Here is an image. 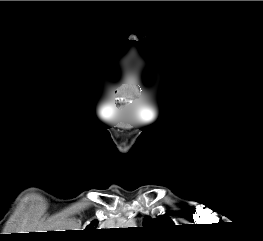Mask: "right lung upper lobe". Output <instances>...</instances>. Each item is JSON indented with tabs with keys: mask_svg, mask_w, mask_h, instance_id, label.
<instances>
[{
	"mask_svg": "<svg viewBox=\"0 0 263 241\" xmlns=\"http://www.w3.org/2000/svg\"><path fill=\"white\" fill-rule=\"evenodd\" d=\"M98 220H93L86 228V230H93L97 227Z\"/></svg>",
	"mask_w": 263,
	"mask_h": 241,
	"instance_id": "1",
	"label": "right lung upper lobe"
}]
</instances>
